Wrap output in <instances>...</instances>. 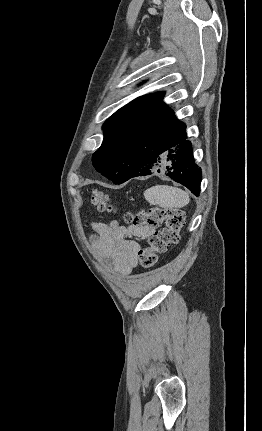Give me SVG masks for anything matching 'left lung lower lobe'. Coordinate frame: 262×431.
<instances>
[{"label":"left lung lower lobe","instance_id":"0a47b994","mask_svg":"<svg viewBox=\"0 0 262 431\" xmlns=\"http://www.w3.org/2000/svg\"><path fill=\"white\" fill-rule=\"evenodd\" d=\"M185 128V125L176 128L153 145L151 150H139L128 179L163 173L198 195L202 173L194 161L192 145L186 140Z\"/></svg>","mask_w":262,"mask_h":431}]
</instances>
